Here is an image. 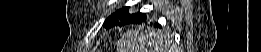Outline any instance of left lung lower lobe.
Instances as JSON below:
<instances>
[{"instance_id":"0a47b994","label":"left lung lower lobe","mask_w":261,"mask_h":52,"mask_svg":"<svg viewBox=\"0 0 261 52\" xmlns=\"http://www.w3.org/2000/svg\"><path fill=\"white\" fill-rule=\"evenodd\" d=\"M145 20H146V16L144 15L141 19L135 21L134 23H142Z\"/></svg>"}]
</instances>
